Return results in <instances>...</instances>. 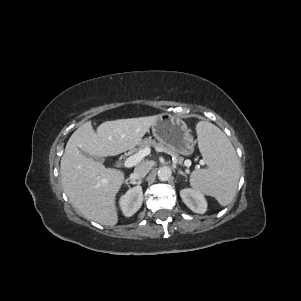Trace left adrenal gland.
Listing matches in <instances>:
<instances>
[{
  "label": "left adrenal gland",
  "instance_id": "a2214340",
  "mask_svg": "<svg viewBox=\"0 0 301 301\" xmlns=\"http://www.w3.org/2000/svg\"><path fill=\"white\" fill-rule=\"evenodd\" d=\"M178 174L186 176V174L183 171H181V170H178Z\"/></svg>",
  "mask_w": 301,
  "mask_h": 301
}]
</instances>
